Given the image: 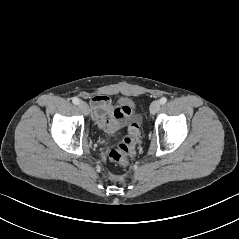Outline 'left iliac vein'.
Masks as SVG:
<instances>
[{"mask_svg": "<svg viewBox=\"0 0 239 239\" xmlns=\"http://www.w3.org/2000/svg\"><path fill=\"white\" fill-rule=\"evenodd\" d=\"M161 103L160 101L156 100L153 101L150 105V113L152 115L156 114L158 112V110L160 109Z\"/></svg>", "mask_w": 239, "mask_h": 239, "instance_id": "obj_1", "label": "left iliac vein"}]
</instances>
